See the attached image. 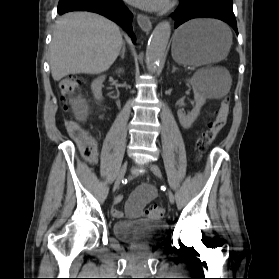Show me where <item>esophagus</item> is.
Returning <instances> with one entry per match:
<instances>
[{"label": "esophagus", "mask_w": 279, "mask_h": 279, "mask_svg": "<svg viewBox=\"0 0 279 279\" xmlns=\"http://www.w3.org/2000/svg\"><path fill=\"white\" fill-rule=\"evenodd\" d=\"M137 23L140 26V28L145 32H149L152 29V23L147 15L138 14Z\"/></svg>", "instance_id": "esophagus-1"}]
</instances>
